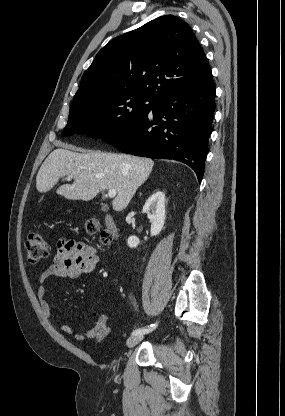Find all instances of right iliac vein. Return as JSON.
<instances>
[{"label": "right iliac vein", "instance_id": "right-iliac-vein-1", "mask_svg": "<svg viewBox=\"0 0 285 416\" xmlns=\"http://www.w3.org/2000/svg\"><path fill=\"white\" fill-rule=\"evenodd\" d=\"M143 338H144V336L141 335V334L133 335V336H131L127 339L126 346L128 348H132V347L136 346Z\"/></svg>", "mask_w": 285, "mask_h": 416}]
</instances>
